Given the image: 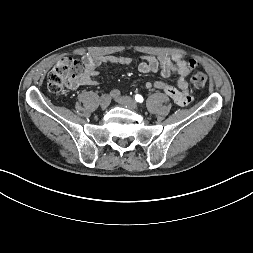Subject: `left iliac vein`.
<instances>
[{"mask_svg": "<svg viewBox=\"0 0 253 253\" xmlns=\"http://www.w3.org/2000/svg\"><path fill=\"white\" fill-rule=\"evenodd\" d=\"M116 101L122 105V106H126L129 109L132 110H138L139 106L138 104L135 102V100H133L132 98L128 97V96H120L118 98H116Z\"/></svg>", "mask_w": 253, "mask_h": 253, "instance_id": "obj_1", "label": "left iliac vein"}]
</instances>
